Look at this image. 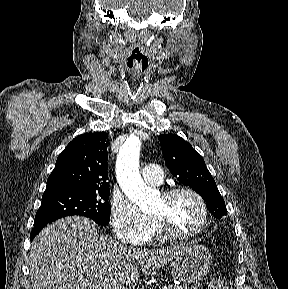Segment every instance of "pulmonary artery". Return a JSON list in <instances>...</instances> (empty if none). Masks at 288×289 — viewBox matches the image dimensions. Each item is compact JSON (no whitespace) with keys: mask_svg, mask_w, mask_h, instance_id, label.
<instances>
[{"mask_svg":"<svg viewBox=\"0 0 288 289\" xmlns=\"http://www.w3.org/2000/svg\"><path fill=\"white\" fill-rule=\"evenodd\" d=\"M142 177L148 184L159 186L163 182V170L156 164H147L142 169Z\"/></svg>","mask_w":288,"mask_h":289,"instance_id":"e3ab8cb5","label":"pulmonary artery"}]
</instances>
